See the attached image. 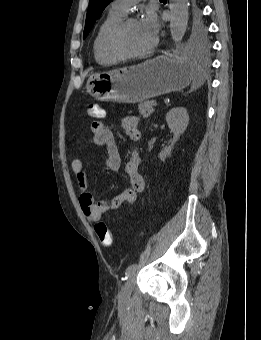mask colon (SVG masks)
Instances as JSON below:
<instances>
[{"label":"colon","instance_id":"obj_1","mask_svg":"<svg viewBox=\"0 0 261 340\" xmlns=\"http://www.w3.org/2000/svg\"><path fill=\"white\" fill-rule=\"evenodd\" d=\"M86 115L90 118H101L104 116V110L97 104H89L86 107ZM95 232L103 246L109 247L112 245L113 236L104 223H97Z\"/></svg>","mask_w":261,"mask_h":340}]
</instances>
